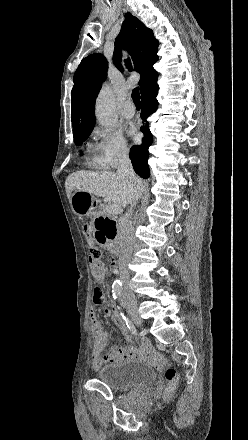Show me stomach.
Instances as JSON below:
<instances>
[{
  "instance_id": "1",
  "label": "stomach",
  "mask_w": 248,
  "mask_h": 440,
  "mask_svg": "<svg viewBox=\"0 0 248 440\" xmlns=\"http://www.w3.org/2000/svg\"><path fill=\"white\" fill-rule=\"evenodd\" d=\"M70 202L75 214L84 215L94 208L97 198L88 192L76 190ZM108 216L109 211L101 209L98 218H95L94 223L91 225L92 232H96L97 246H114L115 244V232H118L119 225L116 218H107Z\"/></svg>"
}]
</instances>
